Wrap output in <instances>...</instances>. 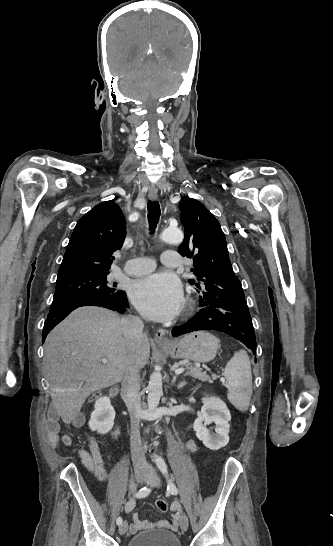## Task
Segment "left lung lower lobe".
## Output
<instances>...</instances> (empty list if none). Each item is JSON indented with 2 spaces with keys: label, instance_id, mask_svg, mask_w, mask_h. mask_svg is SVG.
<instances>
[{
  "label": "left lung lower lobe",
  "instance_id": "left-lung-lower-lobe-1",
  "mask_svg": "<svg viewBox=\"0 0 333 546\" xmlns=\"http://www.w3.org/2000/svg\"><path fill=\"white\" fill-rule=\"evenodd\" d=\"M199 306L201 309L191 320L173 328L174 337L198 330H216L233 336L255 352V332L245 299L222 301L207 295L200 297Z\"/></svg>",
  "mask_w": 333,
  "mask_h": 546
}]
</instances>
